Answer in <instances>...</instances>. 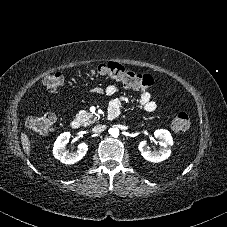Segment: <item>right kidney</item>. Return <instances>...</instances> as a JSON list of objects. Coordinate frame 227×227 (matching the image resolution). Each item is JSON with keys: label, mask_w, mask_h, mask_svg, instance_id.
Wrapping results in <instances>:
<instances>
[{"label": "right kidney", "mask_w": 227, "mask_h": 227, "mask_svg": "<svg viewBox=\"0 0 227 227\" xmlns=\"http://www.w3.org/2000/svg\"><path fill=\"white\" fill-rule=\"evenodd\" d=\"M69 138V132L62 133L55 141L53 147L54 157L64 164H74L78 162L85 156L88 150V145L85 142H82L78 145L77 151L72 153L68 152L66 150V144L69 142Z\"/></svg>", "instance_id": "right-kidney-1"}]
</instances>
